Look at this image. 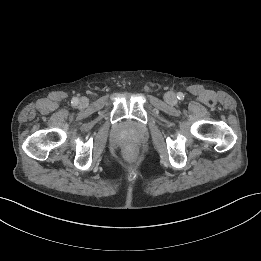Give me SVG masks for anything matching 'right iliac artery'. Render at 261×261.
Masks as SVG:
<instances>
[{
	"mask_svg": "<svg viewBox=\"0 0 261 261\" xmlns=\"http://www.w3.org/2000/svg\"><path fill=\"white\" fill-rule=\"evenodd\" d=\"M78 102H79L78 98H73L71 103L73 106H76Z\"/></svg>",
	"mask_w": 261,
	"mask_h": 261,
	"instance_id": "1",
	"label": "right iliac artery"
}]
</instances>
